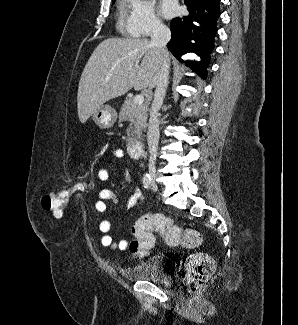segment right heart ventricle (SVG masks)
Returning a JSON list of instances; mask_svg holds the SVG:
<instances>
[{
    "instance_id": "right-heart-ventricle-1",
    "label": "right heart ventricle",
    "mask_w": 298,
    "mask_h": 325,
    "mask_svg": "<svg viewBox=\"0 0 298 325\" xmlns=\"http://www.w3.org/2000/svg\"><path fill=\"white\" fill-rule=\"evenodd\" d=\"M125 8H126V2L125 1L119 2L118 12H119V15H120V19L123 18V15L125 13Z\"/></svg>"
}]
</instances>
